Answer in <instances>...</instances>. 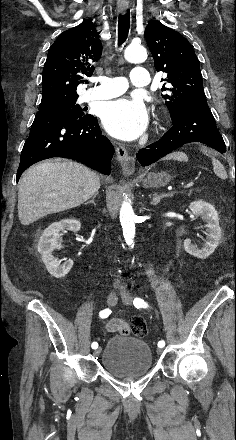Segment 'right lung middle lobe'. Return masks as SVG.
Listing matches in <instances>:
<instances>
[{
    "label": "right lung middle lobe",
    "instance_id": "1",
    "mask_svg": "<svg viewBox=\"0 0 236 440\" xmlns=\"http://www.w3.org/2000/svg\"><path fill=\"white\" fill-rule=\"evenodd\" d=\"M39 111H57L72 115L74 117H81L85 115L82 112L81 107L76 104V101L39 107Z\"/></svg>",
    "mask_w": 236,
    "mask_h": 440
}]
</instances>
